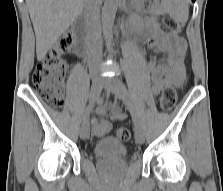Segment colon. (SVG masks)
I'll list each match as a JSON object with an SVG mask.
<instances>
[{
	"mask_svg": "<svg viewBox=\"0 0 223 191\" xmlns=\"http://www.w3.org/2000/svg\"><path fill=\"white\" fill-rule=\"evenodd\" d=\"M165 27L172 33L179 34L181 32L180 24L171 17L164 19ZM74 38L71 34L61 37L47 58L39 63L33 74L32 84L36 93L50 103L55 108L63 105V78L65 76L67 65L60 55L72 48ZM177 101L176 90L172 86H166L160 98V108L162 111H171ZM117 137L122 141H128L131 132L127 128H119L116 132Z\"/></svg>",
	"mask_w": 223,
	"mask_h": 191,
	"instance_id": "1",
	"label": "colon"
}]
</instances>
